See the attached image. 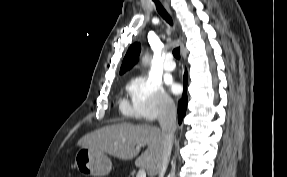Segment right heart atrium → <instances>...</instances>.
Masks as SVG:
<instances>
[{"mask_svg": "<svg viewBox=\"0 0 287 177\" xmlns=\"http://www.w3.org/2000/svg\"><path fill=\"white\" fill-rule=\"evenodd\" d=\"M128 92L133 113L141 122H153L173 109L172 98L156 76L143 75L133 78L128 83Z\"/></svg>", "mask_w": 287, "mask_h": 177, "instance_id": "d8ad5b80", "label": "right heart atrium"}]
</instances>
